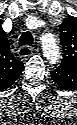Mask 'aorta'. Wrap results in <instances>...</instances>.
<instances>
[{"mask_svg":"<svg viewBox=\"0 0 77 125\" xmlns=\"http://www.w3.org/2000/svg\"><path fill=\"white\" fill-rule=\"evenodd\" d=\"M45 56L51 64H56L60 58L59 48L52 36L45 35L42 39Z\"/></svg>","mask_w":77,"mask_h":125,"instance_id":"aorta-1","label":"aorta"}]
</instances>
